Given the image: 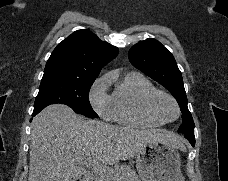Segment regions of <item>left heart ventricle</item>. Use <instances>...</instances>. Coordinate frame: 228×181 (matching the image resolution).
<instances>
[{"instance_id":"b2bd125f","label":"left heart ventricle","mask_w":228,"mask_h":181,"mask_svg":"<svg viewBox=\"0 0 228 181\" xmlns=\"http://www.w3.org/2000/svg\"><path fill=\"white\" fill-rule=\"evenodd\" d=\"M153 108L155 107V111L157 113H164L166 115H173L174 114V110L172 107L171 102L164 96H158L155 101H153Z\"/></svg>"}]
</instances>
